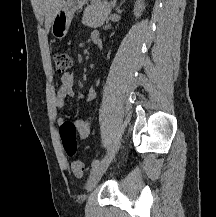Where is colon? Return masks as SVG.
I'll return each instance as SVG.
<instances>
[{"label":"colon","mask_w":216,"mask_h":217,"mask_svg":"<svg viewBox=\"0 0 216 217\" xmlns=\"http://www.w3.org/2000/svg\"><path fill=\"white\" fill-rule=\"evenodd\" d=\"M53 61L58 73L68 71L72 65L70 54L65 50H56L53 53ZM60 136L65 152L72 156L77 148L76 128L70 122H65L60 130ZM72 172L75 176L81 177L85 172L84 164L81 161H74L71 165Z\"/></svg>","instance_id":"5ec220e1"}]
</instances>
